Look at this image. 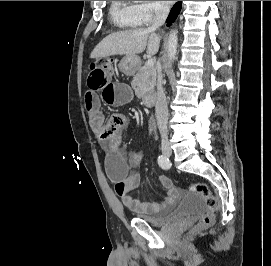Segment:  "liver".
<instances>
[{"label": "liver", "instance_id": "6515ba94", "mask_svg": "<svg viewBox=\"0 0 271 266\" xmlns=\"http://www.w3.org/2000/svg\"><path fill=\"white\" fill-rule=\"evenodd\" d=\"M161 37L145 28H136L116 32L106 36L92 51L90 58L113 55H136L147 47L148 55H155L159 50Z\"/></svg>", "mask_w": 271, "mask_h": 266}]
</instances>
